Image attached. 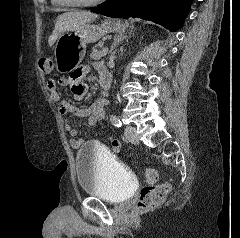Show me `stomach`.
<instances>
[{
  "label": "stomach",
  "instance_id": "stomach-1",
  "mask_svg": "<svg viewBox=\"0 0 240 238\" xmlns=\"http://www.w3.org/2000/svg\"><path fill=\"white\" fill-rule=\"evenodd\" d=\"M128 27L116 19H106L100 25L87 24L78 30L62 33L54 47L55 67L59 73H69L86 53V45L95 43L107 33L122 32Z\"/></svg>",
  "mask_w": 240,
  "mask_h": 238
}]
</instances>
